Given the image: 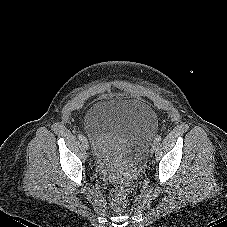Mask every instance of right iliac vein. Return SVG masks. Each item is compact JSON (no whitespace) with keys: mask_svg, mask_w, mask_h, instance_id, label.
Returning a JSON list of instances; mask_svg holds the SVG:
<instances>
[{"mask_svg":"<svg viewBox=\"0 0 227 227\" xmlns=\"http://www.w3.org/2000/svg\"><path fill=\"white\" fill-rule=\"evenodd\" d=\"M82 145H83V148L86 149V150L89 148V144H88V141H87L86 138H84L82 140Z\"/></svg>","mask_w":227,"mask_h":227,"instance_id":"obj_1","label":"right iliac vein"}]
</instances>
